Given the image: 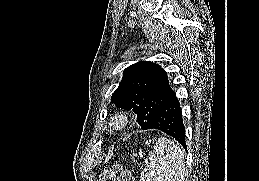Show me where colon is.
Returning <instances> with one entry per match:
<instances>
[{
	"label": "colon",
	"instance_id": "colon-1",
	"mask_svg": "<svg viewBox=\"0 0 259 181\" xmlns=\"http://www.w3.org/2000/svg\"><path fill=\"white\" fill-rule=\"evenodd\" d=\"M101 179L102 181H134L131 173L120 164L104 170Z\"/></svg>",
	"mask_w": 259,
	"mask_h": 181
}]
</instances>
